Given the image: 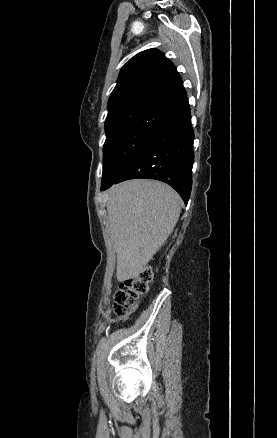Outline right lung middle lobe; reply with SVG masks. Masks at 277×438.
Segmentation results:
<instances>
[{
  "instance_id": "dd1d6c3e",
  "label": "right lung middle lobe",
  "mask_w": 277,
  "mask_h": 438,
  "mask_svg": "<svg viewBox=\"0 0 277 438\" xmlns=\"http://www.w3.org/2000/svg\"><path fill=\"white\" fill-rule=\"evenodd\" d=\"M166 111L137 116L118 115L105 121L102 184L114 181L145 144Z\"/></svg>"
}]
</instances>
